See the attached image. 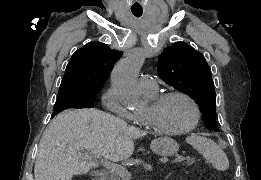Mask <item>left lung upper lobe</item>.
<instances>
[{
  "mask_svg": "<svg viewBox=\"0 0 261 180\" xmlns=\"http://www.w3.org/2000/svg\"><path fill=\"white\" fill-rule=\"evenodd\" d=\"M157 71L167 84L194 99L202 111L205 125L219 131L211 69L200 52L184 42H176L163 51Z\"/></svg>",
  "mask_w": 261,
  "mask_h": 180,
  "instance_id": "1",
  "label": "left lung upper lobe"
}]
</instances>
